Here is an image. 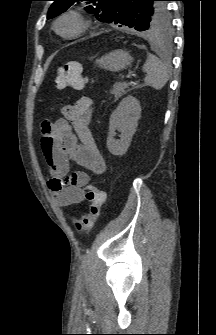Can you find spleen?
Here are the masks:
<instances>
[{
    "mask_svg": "<svg viewBox=\"0 0 216 335\" xmlns=\"http://www.w3.org/2000/svg\"><path fill=\"white\" fill-rule=\"evenodd\" d=\"M143 71L146 73L145 84L156 90L162 89L169 79L168 67L153 54H148Z\"/></svg>",
    "mask_w": 216,
    "mask_h": 335,
    "instance_id": "1",
    "label": "spleen"
}]
</instances>
